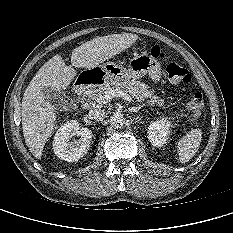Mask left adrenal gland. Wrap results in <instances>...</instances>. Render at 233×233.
Instances as JSON below:
<instances>
[{
    "label": "left adrenal gland",
    "instance_id": "left-adrenal-gland-1",
    "mask_svg": "<svg viewBox=\"0 0 233 233\" xmlns=\"http://www.w3.org/2000/svg\"><path fill=\"white\" fill-rule=\"evenodd\" d=\"M144 105H139L137 107H132L129 109L130 112H138Z\"/></svg>",
    "mask_w": 233,
    "mask_h": 233
}]
</instances>
